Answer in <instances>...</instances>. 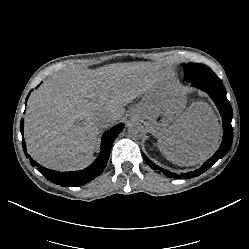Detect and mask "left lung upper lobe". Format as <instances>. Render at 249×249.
Returning a JSON list of instances; mask_svg holds the SVG:
<instances>
[{
  "label": "left lung upper lobe",
  "mask_w": 249,
  "mask_h": 249,
  "mask_svg": "<svg viewBox=\"0 0 249 249\" xmlns=\"http://www.w3.org/2000/svg\"><path fill=\"white\" fill-rule=\"evenodd\" d=\"M184 67V80L189 83H195L204 80H217L220 79L210 68L203 64L188 63L183 64Z\"/></svg>",
  "instance_id": "left-lung-upper-lobe-1"
}]
</instances>
